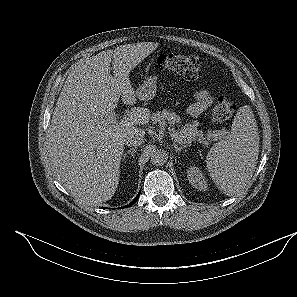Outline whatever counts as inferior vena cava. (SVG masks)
<instances>
[{
    "instance_id": "602c4592",
    "label": "inferior vena cava",
    "mask_w": 297,
    "mask_h": 297,
    "mask_svg": "<svg viewBox=\"0 0 297 297\" xmlns=\"http://www.w3.org/2000/svg\"><path fill=\"white\" fill-rule=\"evenodd\" d=\"M144 140V134L142 132L135 131L129 133L125 137L124 142L127 146L136 147L142 145L145 142Z\"/></svg>"
}]
</instances>
